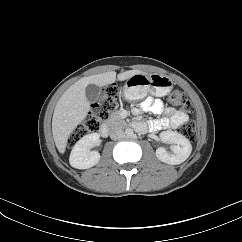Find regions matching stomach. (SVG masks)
<instances>
[{"label": "stomach", "instance_id": "0dacf381", "mask_svg": "<svg viewBox=\"0 0 242 242\" xmlns=\"http://www.w3.org/2000/svg\"><path fill=\"white\" fill-rule=\"evenodd\" d=\"M173 81L170 77L158 73H138L129 77L124 85L127 100L144 98L148 93L162 97L171 92Z\"/></svg>", "mask_w": 242, "mask_h": 242}]
</instances>
